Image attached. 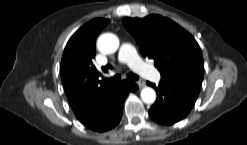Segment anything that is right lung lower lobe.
<instances>
[{
    "instance_id": "obj_1",
    "label": "right lung lower lobe",
    "mask_w": 247,
    "mask_h": 145,
    "mask_svg": "<svg viewBox=\"0 0 247 145\" xmlns=\"http://www.w3.org/2000/svg\"><path fill=\"white\" fill-rule=\"evenodd\" d=\"M138 86L128 80L116 85L108 96L96 104L78 120L87 128L103 132L115 127L121 120L123 104L129 92H135Z\"/></svg>"
}]
</instances>
